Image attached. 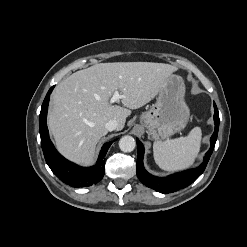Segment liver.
<instances>
[{
  "label": "liver",
  "mask_w": 247,
  "mask_h": 247,
  "mask_svg": "<svg viewBox=\"0 0 247 247\" xmlns=\"http://www.w3.org/2000/svg\"><path fill=\"white\" fill-rule=\"evenodd\" d=\"M175 71V66L164 63L114 62L70 75L54 89L48 114L58 151L77 164L91 165L97 143L108 133L105 124L116 120L117 130H122L130 109L150 102ZM115 91L127 108L110 103Z\"/></svg>",
  "instance_id": "6515ba94"
}]
</instances>
